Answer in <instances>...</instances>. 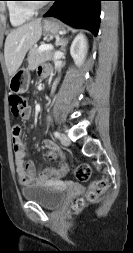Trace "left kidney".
Masks as SVG:
<instances>
[{"label":"left kidney","instance_id":"left-kidney-1","mask_svg":"<svg viewBox=\"0 0 133 253\" xmlns=\"http://www.w3.org/2000/svg\"><path fill=\"white\" fill-rule=\"evenodd\" d=\"M87 53V41L83 34H78L70 47V54L77 66L82 65Z\"/></svg>","mask_w":133,"mask_h":253}]
</instances>
